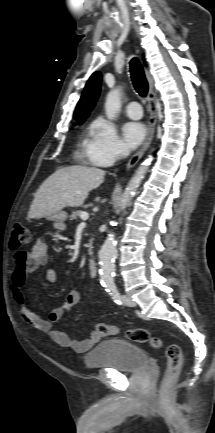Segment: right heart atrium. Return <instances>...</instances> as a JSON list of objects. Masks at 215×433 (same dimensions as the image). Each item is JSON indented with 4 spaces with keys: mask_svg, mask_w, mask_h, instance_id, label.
<instances>
[{
    "mask_svg": "<svg viewBox=\"0 0 215 433\" xmlns=\"http://www.w3.org/2000/svg\"><path fill=\"white\" fill-rule=\"evenodd\" d=\"M125 153L114 124L102 116L97 117L91 125L85 146L88 160L96 166L107 167L123 157Z\"/></svg>",
    "mask_w": 215,
    "mask_h": 433,
    "instance_id": "right-heart-atrium-1",
    "label": "right heart atrium"
}]
</instances>
